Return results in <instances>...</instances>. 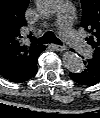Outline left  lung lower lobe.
<instances>
[{
  "label": "left lung lower lobe",
  "instance_id": "0a47b994",
  "mask_svg": "<svg viewBox=\"0 0 100 118\" xmlns=\"http://www.w3.org/2000/svg\"><path fill=\"white\" fill-rule=\"evenodd\" d=\"M85 69L81 73H70L69 77L78 84L94 85L100 81V59L92 57L83 61Z\"/></svg>",
  "mask_w": 100,
  "mask_h": 118
}]
</instances>
